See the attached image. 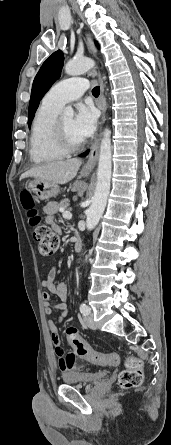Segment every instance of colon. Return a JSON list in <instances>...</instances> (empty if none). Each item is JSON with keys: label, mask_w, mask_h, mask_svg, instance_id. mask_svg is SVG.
Listing matches in <instances>:
<instances>
[{"label": "colon", "mask_w": 171, "mask_h": 445, "mask_svg": "<svg viewBox=\"0 0 171 445\" xmlns=\"http://www.w3.org/2000/svg\"><path fill=\"white\" fill-rule=\"evenodd\" d=\"M21 202L27 210L32 233L38 244L39 252L42 255L53 254L59 246V235L50 226L42 223L41 217L35 209L34 199L32 195L24 191L21 193ZM67 340L69 345L74 349L75 353L92 363L102 365H114L118 362V358L112 354H103L96 352L79 336L78 329L75 325L67 328ZM143 367L142 362L132 356L127 357L125 361V369L122 370L118 377V383L121 388H135L142 384Z\"/></svg>", "instance_id": "obj_1"}]
</instances>
